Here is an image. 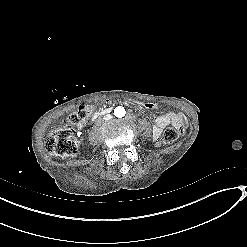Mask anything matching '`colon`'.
<instances>
[{
    "instance_id": "5ec220e1",
    "label": "colon",
    "mask_w": 247,
    "mask_h": 247,
    "mask_svg": "<svg viewBox=\"0 0 247 247\" xmlns=\"http://www.w3.org/2000/svg\"><path fill=\"white\" fill-rule=\"evenodd\" d=\"M143 106L146 111H156L160 104L157 101H144ZM90 110L86 105L80 106L67 120V127H57L50 131L45 140V148L50 153L60 158L74 157L78 153L77 130L76 127L82 125L88 119ZM185 134L182 126H172L165 130L163 134L164 143H173Z\"/></svg>"
}]
</instances>
